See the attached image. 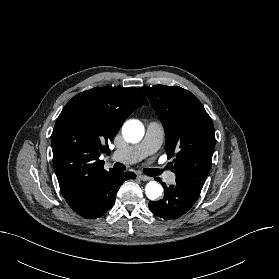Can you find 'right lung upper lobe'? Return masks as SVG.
Masks as SVG:
<instances>
[{
  "instance_id": "1",
  "label": "right lung upper lobe",
  "mask_w": 279,
  "mask_h": 279,
  "mask_svg": "<svg viewBox=\"0 0 279 279\" xmlns=\"http://www.w3.org/2000/svg\"><path fill=\"white\" fill-rule=\"evenodd\" d=\"M147 99L135 88L100 87L74 96L60 113L51 135L53 165L63 197L75 210L84 205L108 173L107 152L125 119Z\"/></svg>"
}]
</instances>
